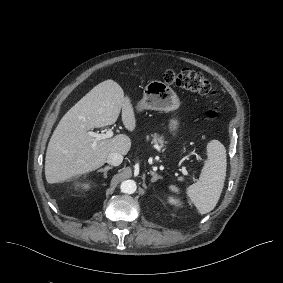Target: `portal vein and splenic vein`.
<instances>
[{
  "mask_svg": "<svg viewBox=\"0 0 283 283\" xmlns=\"http://www.w3.org/2000/svg\"><path fill=\"white\" fill-rule=\"evenodd\" d=\"M90 136L93 137V145H96L99 141L113 138L114 137V132L112 130H108L106 133H95V132H90ZM182 173H186L185 167L183 166L181 168Z\"/></svg>",
  "mask_w": 283,
  "mask_h": 283,
  "instance_id": "1",
  "label": "portal vein and splenic vein"
}]
</instances>
